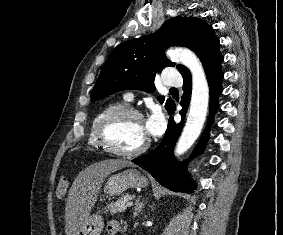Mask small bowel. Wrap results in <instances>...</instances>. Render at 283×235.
<instances>
[{
  "label": "small bowel",
  "instance_id": "c3829d8e",
  "mask_svg": "<svg viewBox=\"0 0 283 235\" xmlns=\"http://www.w3.org/2000/svg\"><path fill=\"white\" fill-rule=\"evenodd\" d=\"M108 232L111 235H116L121 231V224L117 220H112L108 223Z\"/></svg>",
  "mask_w": 283,
  "mask_h": 235
}]
</instances>
